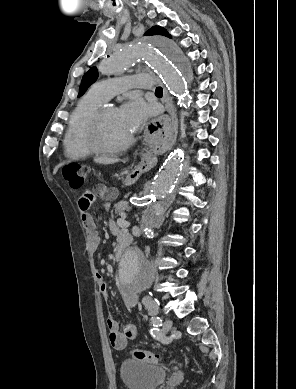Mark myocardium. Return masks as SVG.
I'll return each mask as SVG.
<instances>
[{
    "instance_id": "myocardium-1",
    "label": "myocardium",
    "mask_w": 296,
    "mask_h": 389,
    "mask_svg": "<svg viewBox=\"0 0 296 389\" xmlns=\"http://www.w3.org/2000/svg\"><path fill=\"white\" fill-rule=\"evenodd\" d=\"M108 108H101L96 113L89 132V145L93 153L96 154H117L126 150L132 145L134 139L129 138L126 142L117 146H108L103 141L102 128L103 121Z\"/></svg>"
}]
</instances>
